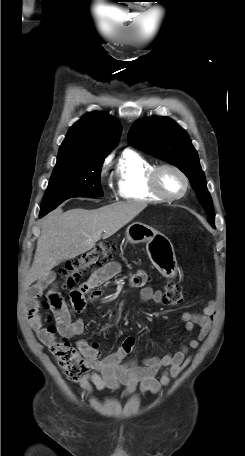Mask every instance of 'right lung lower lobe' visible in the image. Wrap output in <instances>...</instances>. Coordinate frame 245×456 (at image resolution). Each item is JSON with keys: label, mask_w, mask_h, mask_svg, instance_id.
Segmentation results:
<instances>
[{"label": "right lung lower lobe", "mask_w": 245, "mask_h": 456, "mask_svg": "<svg viewBox=\"0 0 245 456\" xmlns=\"http://www.w3.org/2000/svg\"><path fill=\"white\" fill-rule=\"evenodd\" d=\"M42 216H44V214H40V216H39V217H42Z\"/></svg>", "instance_id": "obj_1"}]
</instances>
